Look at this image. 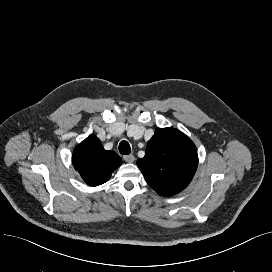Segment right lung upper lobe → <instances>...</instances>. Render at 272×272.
Here are the masks:
<instances>
[{
	"label": "right lung upper lobe",
	"mask_w": 272,
	"mask_h": 272,
	"mask_svg": "<svg viewBox=\"0 0 272 272\" xmlns=\"http://www.w3.org/2000/svg\"><path fill=\"white\" fill-rule=\"evenodd\" d=\"M72 161L82 179L90 186L108 181L112 172L122 164V159L114 151L105 150L93 135L75 148Z\"/></svg>",
	"instance_id": "right-lung-upper-lobe-1"
}]
</instances>
